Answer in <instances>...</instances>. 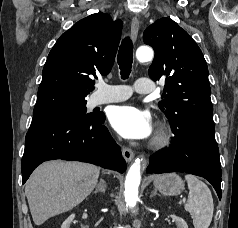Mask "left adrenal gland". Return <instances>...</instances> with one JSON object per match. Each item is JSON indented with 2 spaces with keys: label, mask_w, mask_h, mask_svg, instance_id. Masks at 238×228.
I'll return each mask as SVG.
<instances>
[{
  "label": "left adrenal gland",
  "mask_w": 238,
  "mask_h": 228,
  "mask_svg": "<svg viewBox=\"0 0 238 228\" xmlns=\"http://www.w3.org/2000/svg\"><path fill=\"white\" fill-rule=\"evenodd\" d=\"M155 195H158V193H157V190H156V189H154V190L151 192V195H150V197H153V196H155Z\"/></svg>",
  "instance_id": "1"
}]
</instances>
